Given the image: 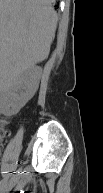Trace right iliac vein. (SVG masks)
Instances as JSON below:
<instances>
[{
    "instance_id": "obj_1",
    "label": "right iliac vein",
    "mask_w": 103,
    "mask_h": 193,
    "mask_svg": "<svg viewBox=\"0 0 103 193\" xmlns=\"http://www.w3.org/2000/svg\"><path fill=\"white\" fill-rule=\"evenodd\" d=\"M18 179H19V174L15 175V176L13 177V179L9 182L8 187H7L8 190L12 189V188L15 186V184H16L17 181H18Z\"/></svg>"
}]
</instances>
